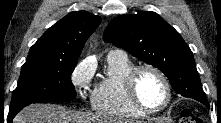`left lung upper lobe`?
Returning a JSON list of instances; mask_svg holds the SVG:
<instances>
[{"label": "left lung upper lobe", "instance_id": "5c2ea615", "mask_svg": "<svg viewBox=\"0 0 221 123\" xmlns=\"http://www.w3.org/2000/svg\"><path fill=\"white\" fill-rule=\"evenodd\" d=\"M103 38L162 71L177 94L207 104L192 51L157 13L120 15L108 24Z\"/></svg>", "mask_w": 221, "mask_h": 123}]
</instances>
